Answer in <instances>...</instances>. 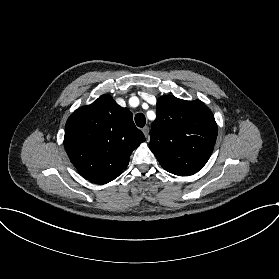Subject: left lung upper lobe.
I'll use <instances>...</instances> for the list:
<instances>
[{"label": "left lung upper lobe", "instance_id": "obj_1", "mask_svg": "<svg viewBox=\"0 0 279 279\" xmlns=\"http://www.w3.org/2000/svg\"><path fill=\"white\" fill-rule=\"evenodd\" d=\"M149 147L168 172L188 176L198 172L210 158L217 137V124L201 101L162 96L152 123Z\"/></svg>", "mask_w": 279, "mask_h": 279}]
</instances>
